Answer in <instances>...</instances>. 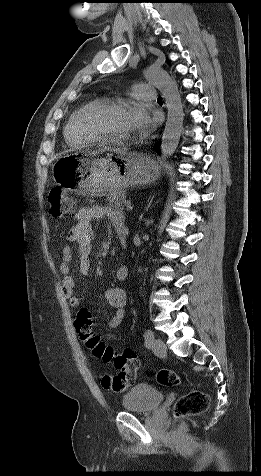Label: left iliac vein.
I'll use <instances>...</instances> for the list:
<instances>
[{"instance_id": "1", "label": "left iliac vein", "mask_w": 261, "mask_h": 476, "mask_svg": "<svg viewBox=\"0 0 261 476\" xmlns=\"http://www.w3.org/2000/svg\"><path fill=\"white\" fill-rule=\"evenodd\" d=\"M151 347H152V350H153L154 354H156L158 356H162V355L166 354L167 347L161 339H154L153 342H152Z\"/></svg>"}]
</instances>
